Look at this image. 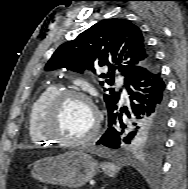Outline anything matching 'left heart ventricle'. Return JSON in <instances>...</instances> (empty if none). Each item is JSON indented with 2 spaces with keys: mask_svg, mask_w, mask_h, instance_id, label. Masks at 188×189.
I'll list each match as a JSON object with an SVG mask.
<instances>
[{
  "mask_svg": "<svg viewBox=\"0 0 188 189\" xmlns=\"http://www.w3.org/2000/svg\"><path fill=\"white\" fill-rule=\"evenodd\" d=\"M94 115L88 104L80 99L65 101L60 107L54 130L63 137L77 139L89 133Z\"/></svg>",
  "mask_w": 188,
  "mask_h": 189,
  "instance_id": "obj_1",
  "label": "left heart ventricle"
}]
</instances>
